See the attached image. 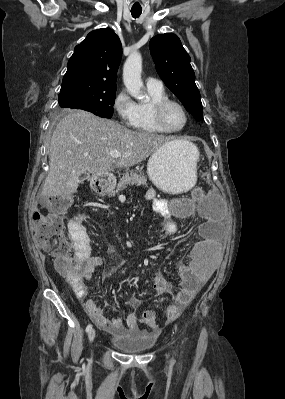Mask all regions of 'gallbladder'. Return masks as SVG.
<instances>
[{
    "label": "gallbladder",
    "mask_w": 285,
    "mask_h": 399,
    "mask_svg": "<svg viewBox=\"0 0 285 399\" xmlns=\"http://www.w3.org/2000/svg\"><path fill=\"white\" fill-rule=\"evenodd\" d=\"M90 179V176H89V174H82L81 176H80V183H83L85 180H89Z\"/></svg>",
    "instance_id": "gallbladder-1"
}]
</instances>
